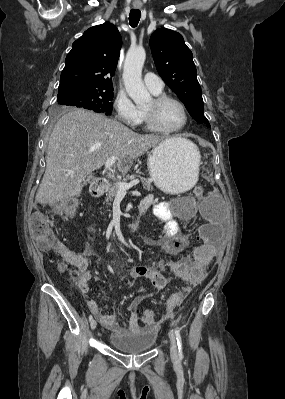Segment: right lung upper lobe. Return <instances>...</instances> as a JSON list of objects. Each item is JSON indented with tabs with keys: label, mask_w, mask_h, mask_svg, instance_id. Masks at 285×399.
<instances>
[{
	"label": "right lung upper lobe",
	"mask_w": 285,
	"mask_h": 399,
	"mask_svg": "<svg viewBox=\"0 0 285 399\" xmlns=\"http://www.w3.org/2000/svg\"><path fill=\"white\" fill-rule=\"evenodd\" d=\"M122 46L118 29L111 23L89 28L72 45L61 73L59 93L80 89H113Z\"/></svg>",
	"instance_id": "cb5924a9"
}]
</instances>
